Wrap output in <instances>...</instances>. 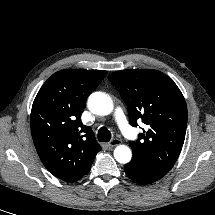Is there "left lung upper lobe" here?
Masks as SVG:
<instances>
[{
  "label": "left lung upper lobe",
  "mask_w": 215,
  "mask_h": 215,
  "mask_svg": "<svg viewBox=\"0 0 215 215\" xmlns=\"http://www.w3.org/2000/svg\"><path fill=\"white\" fill-rule=\"evenodd\" d=\"M124 99L130 124L147 125L137 141H130L132 162L167 174L180 155L187 127L184 97L166 74L156 70L116 71L109 76Z\"/></svg>",
  "instance_id": "1"
}]
</instances>
